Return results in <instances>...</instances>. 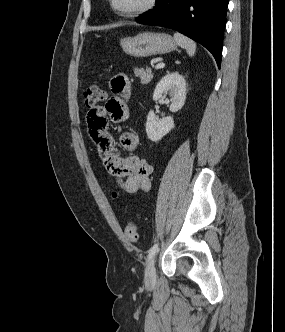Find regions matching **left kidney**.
Instances as JSON below:
<instances>
[{
	"label": "left kidney",
	"mask_w": 285,
	"mask_h": 332,
	"mask_svg": "<svg viewBox=\"0 0 285 332\" xmlns=\"http://www.w3.org/2000/svg\"><path fill=\"white\" fill-rule=\"evenodd\" d=\"M168 93L171 97L170 101L165 98V94ZM165 99L166 103L171 102L170 111L172 113L180 110L186 99V81L184 77L178 72H172L165 75L157 84L154 93L153 100L157 101ZM174 128V121L171 116L163 119H158L154 111H150L146 121V133L148 139L153 142H158L166 134H168Z\"/></svg>",
	"instance_id": "left-kidney-1"
}]
</instances>
